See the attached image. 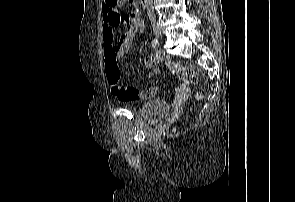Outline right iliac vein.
I'll return each mask as SVG.
<instances>
[{
    "mask_svg": "<svg viewBox=\"0 0 295 202\" xmlns=\"http://www.w3.org/2000/svg\"><path fill=\"white\" fill-rule=\"evenodd\" d=\"M153 32L156 37L160 38L162 36L161 28L155 22L152 24Z\"/></svg>",
    "mask_w": 295,
    "mask_h": 202,
    "instance_id": "1",
    "label": "right iliac vein"
}]
</instances>
